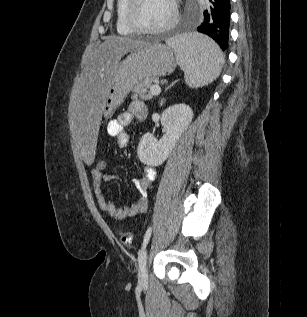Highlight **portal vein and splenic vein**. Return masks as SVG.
Masks as SVG:
<instances>
[{"mask_svg": "<svg viewBox=\"0 0 307 317\" xmlns=\"http://www.w3.org/2000/svg\"><path fill=\"white\" fill-rule=\"evenodd\" d=\"M160 92H161V88H160V86L158 84H155V85L150 87V93L152 95L157 96V95L160 94Z\"/></svg>", "mask_w": 307, "mask_h": 317, "instance_id": "1", "label": "portal vein and splenic vein"}]
</instances>
